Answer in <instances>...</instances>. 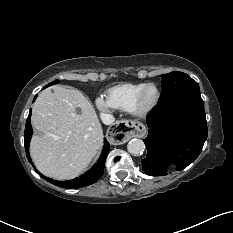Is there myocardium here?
Listing matches in <instances>:
<instances>
[{
	"instance_id": "f54148a6",
	"label": "myocardium",
	"mask_w": 233,
	"mask_h": 233,
	"mask_svg": "<svg viewBox=\"0 0 233 233\" xmlns=\"http://www.w3.org/2000/svg\"><path fill=\"white\" fill-rule=\"evenodd\" d=\"M149 87H153L156 90V98L151 104L144 105L143 104V95H144L145 90ZM160 98H161V91H160L159 87L154 83H146L138 91V93L133 101V104L131 107V112L134 115L139 116V117L146 116L148 113H150L158 105Z\"/></svg>"
}]
</instances>
